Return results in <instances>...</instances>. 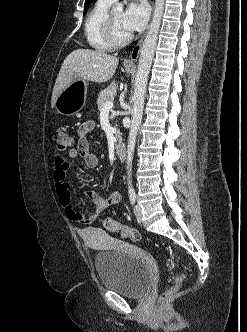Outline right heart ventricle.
Returning <instances> with one entry per match:
<instances>
[{
    "label": "right heart ventricle",
    "mask_w": 247,
    "mask_h": 332,
    "mask_svg": "<svg viewBox=\"0 0 247 332\" xmlns=\"http://www.w3.org/2000/svg\"><path fill=\"white\" fill-rule=\"evenodd\" d=\"M110 5L111 2L108 0H97L84 23V34L88 45L100 52L111 49L102 34V25Z\"/></svg>",
    "instance_id": "right-heart-ventricle-1"
}]
</instances>
